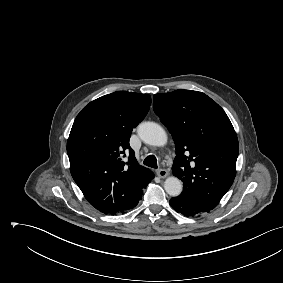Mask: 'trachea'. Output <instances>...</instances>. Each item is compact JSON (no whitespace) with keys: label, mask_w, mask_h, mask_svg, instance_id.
Listing matches in <instances>:
<instances>
[{"label":"trachea","mask_w":283,"mask_h":283,"mask_svg":"<svg viewBox=\"0 0 283 283\" xmlns=\"http://www.w3.org/2000/svg\"><path fill=\"white\" fill-rule=\"evenodd\" d=\"M144 165L151 167V168H157V159L154 155H149L144 159Z\"/></svg>","instance_id":"trachea-1"}]
</instances>
